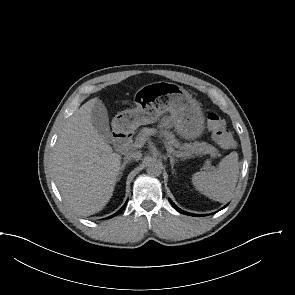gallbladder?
I'll use <instances>...</instances> for the list:
<instances>
[{
	"mask_svg": "<svg viewBox=\"0 0 295 295\" xmlns=\"http://www.w3.org/2000/svg\"><path fill=\"white\" fill-rule=\"evenodd\" d=\"M91 120L98 134L101 135L106 142L111 143L112 135L109 126L108 113L101 100H98L94 104L91 112Z\"/></svg>",
	"mask_w": 295,
	"mask_h": 295,
	"instance_id": "obj_1",
	"label": "gallbladder"
}]
</instances>
